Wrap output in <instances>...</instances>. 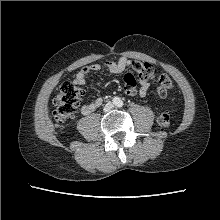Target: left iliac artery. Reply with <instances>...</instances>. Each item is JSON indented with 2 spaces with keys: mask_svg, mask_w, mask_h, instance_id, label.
Here are the masks:
<instances>
[{
  "mask_svg": "<svg viewBox=\"0 0 220 220\" xmlns=\"http://www.w3.org/2000/svg\"><path fill=\"white\" fill-rule=\"evenodd\" d=\"M123 106V102H119V107Z\"/></svg>",
  "mask_w": 220,
  "mask_h": 220,
  "instance_id": "44dca946",
  "label": "left iliac artery"
}]
</instances>
